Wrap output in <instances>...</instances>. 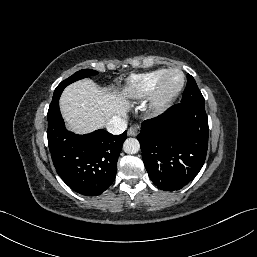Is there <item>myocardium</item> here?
I'll return each mask as SVG.
<instances>
[{
    "label": "myocardium",
    "mask_w": 257,
    "mask_h": 257,
    "mask_svg": "<svg viewBox=\"0 0 257 257\" xmlns=\"http://www.w3.org/2000/svg\"><path fill=\"white\" fill-rule=\"evenodd\" d=\"M178 73L181 76L180 85L174 90H168L166 88V81L168 77L173 74ZM185 85V75L179 69H169L160 78L154 92L152 93L150 100V107L154 111H160L169 105L183 90Z\"/></svg>",
    "instance_id": "obj_1"
}]
</instances>
